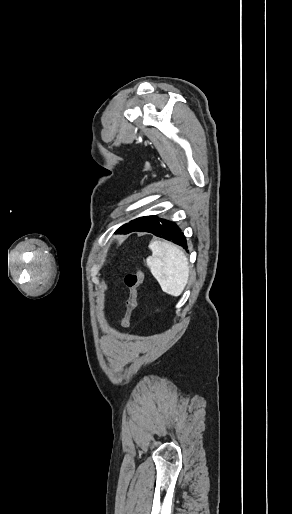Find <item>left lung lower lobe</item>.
<instances>
[{"label":"left lung lower lobe","mask_w":292,"mask_h":514,"mask_svg":"<svg viewBox=\"0 0 292 514\" xmlns=\"http://www.w3.org/2000/svg\"><path fill=\"white\" fill-rule=\"evenodd\" d=\"M142 232H150L158 237L172 241L177 245L187 249V240L181 229L171 221L157 218V220L146 230Z\"/></svg>","instance_id":"obj_1"}]
</instances>
